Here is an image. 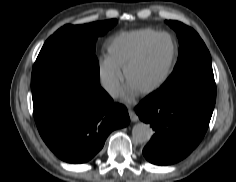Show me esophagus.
<instances>
[{
	"mask_svg": "<svg viewBox=\"0 0 236 182\" xmlns=\"http://www.w3.org/2000/svg\"><path fill=\"white\" fill-rule=\"evenodd\" d=\"M128 113H129L131 121H137L138 120V116L136 115V113L132 109H129Z\"/></svg>",
	"mask_w": 236,
	"mask_h": 182,
	"instance_id": "esophagus-1",
	"label": "esophagus"
}]
</instances>
